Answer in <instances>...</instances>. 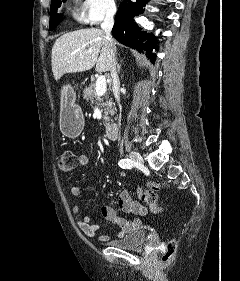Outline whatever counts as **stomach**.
Here are the masks:
<instances>
[{
  "instance_id": "0dacf381",
  "label": "stomach",
  "mask_w": 240,
  "mask_h": 281,
  "mask_svg": "<svg viewBox=\"0 0 240 281\" xmlns=\"http://www.w3.org/2000/svg\"><path fill=\"white\" fill-rule=\"evenodd\" d=\"M60 129L70 138L77 137L83 130L84 117L81 108L76 104V93L70 85L61 91V108L59 113Z\"/></svg>"
}]
</instances>
